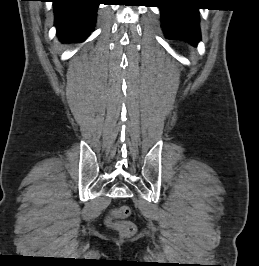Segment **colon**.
<instances>
[{
	"mask_svg": "<svg viewBox=\"0 0 259 266\" xmlns=\"http://www.w3.org/2000/svg\"><path fill=\"white\" fill-rule=\"evenodd\" d=\"M131 214V209L127 205H121L113 209L107 218V224L116 230L122 237H131L136 232V226L127 218Z\"/></svg>",
	"mask_w": 259,
	"mask_h": 266,
	"instance_id": "5ec220e1",
	"label": "colon"
}]
</instances>
